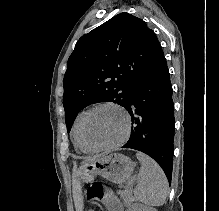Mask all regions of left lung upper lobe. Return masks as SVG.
I'll list each match as a JSON object with an SVG mask.
<instances>
[{
  "label": "left lung upper lobe",
  "mask_w": 219,
  "mask_h": 211,
  "mask_svg": "<svg viewBox=\"0 0 219 211\" xmlns=\"http://www.w3.org/2000/svg\"><path fill=\"white\" fill-rule=\"evenodd\" d=\"M163 56L154 31L126 12L82 36L68 59L63 80L67 131L77 114L93 103L125 107L134 86Z\"/></svg>",
  "instance_id": "obj_1"
}]
</instances>
